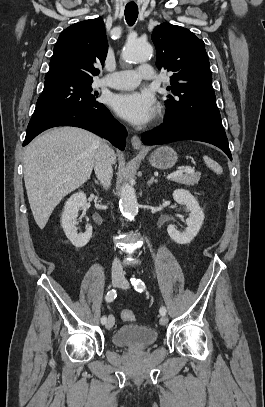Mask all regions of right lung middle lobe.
Segmentation results:
<instances>
[{
	"mask_svg": "<svg viewBox=\"0 0 265 407\" xmlns=\"http://www.w3.org/2000/svg\"><path fill=\"white\" fill-rule=\"evenodd\" d=\"M93 80L52 79L45 80L30 121L68 109L99 104L97 92L92 91Z\"/></svg>",
	"mask_w": 265,
	"mask_h": 407,
	"instance_id": "1",
	"label": "right lung middle lobe"
}]
</instances>
